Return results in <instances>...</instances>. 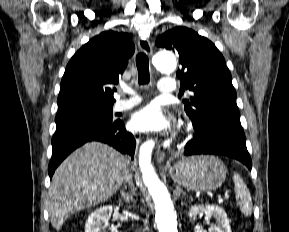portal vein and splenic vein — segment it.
Wrapping results in <instances>:
<instances>
[{"label": "portal vein and splenic vein", "mask_w": 289, "mask_h": 232, "mask_svg": "<svg viewBox=\"0 0 289 232\" xmlns=\"http://www.w3.org/2000/svg\"><path fill=\"white\" fill-rule=\"evenodd\" d=\"M223 198H224L225 200H228V199L230 198V196H229L228 193H226Z\"/></svg>", "instance_id": "1"}]
</instances>
